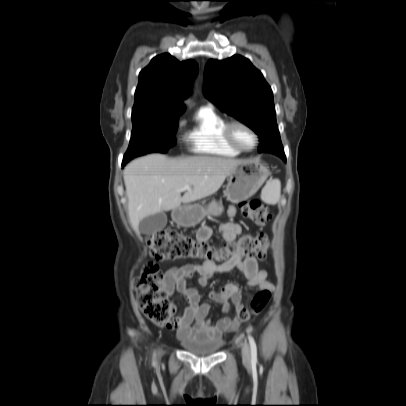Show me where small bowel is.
I'll return each mask as SVG.
<instances>
[{"mask_svg": "<svg viewBox=\"0 0 406 406\" xmlns=\"http://www.w3.org/2000/svg\"><path fill=\"white\" fill-rule=\"evenodd\" d=\"M235 213V207H229L228 216L233 217ZM214 232H217L223 240L230 243L235 241L237 236L241 234L242 227L233 222L221 224L216 231L211 227L203 226L199 229L197 238L199 241L204 242ZM233 269L237 270L247 280L249 288L257 290H271L273 288L267 272L259 268L257 259L253 257H247L244 260H230L219 265L207 261L200 265L187 264L172 267L164 275L167 294L171 297L182 298L186 303V307L181 314L171 320L167 328L176 330L180 339L196 340H218L224 333L237 329L239 322L236 313L244 307L242 296H248L247 292L232 282L226 283L219 292H210L209 297L222 305L223 314L216 321H212L208 318L211 306L208 303L201 304L202 294L188 283L193 276L198 275L199 284L206 286L214 274L229 272ZM232 308L234 314L231 313ZM173 313H176V307L174 306L172 308Z\"/></svg>", "mask_w": 406, "mask_h": 406, "instance_id": "small-bowel-1", "label": "small bowel"}]
</instances>
